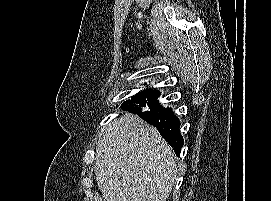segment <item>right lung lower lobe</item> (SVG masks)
Here are the masks:
<instances>
[{"label":"right lung lower lobe","instance_id":"98d812e1","mask_svg":"<svg viewBox=\"0 0 271 201\" xmlns=\"http://www.w3.org/2000/svg\"><path fill=\"white\" fill-rule=\"evenodd\" d=\"M160 96L158 90H146L137 94L131 100L125 101L121 105L122 110L139 115L144 121L155 126L161 136L174 149L177 156H180V150L184 144L180 133V121L174 115L171 108H163L157 101ZM150 110L146 111L145 107Z\"/></svg>","mask_w":271,"mask_h":201}]
</instances>
